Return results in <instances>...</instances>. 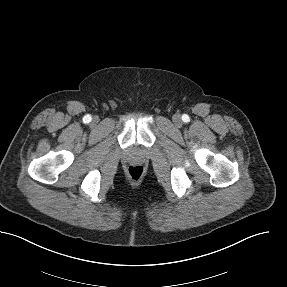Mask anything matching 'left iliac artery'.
<instances>
[{
  "label": "left iliac artery",
  "mask_w": 287,
  "mask_h": 287,
  "mask_svg": "<svg viewBox=\"0 0 287 287\" xmlns=\"http://www.w3.org/2000/svg\"><path fill=\"white\" fill-rule=\"evenodd\" d=\"M182 120H183L184 122H189V121H190V118H189V116H188L187 114H184V115H182Z\"/></svg>",
  "instance_id": "obj_1"
}]
</instances>
